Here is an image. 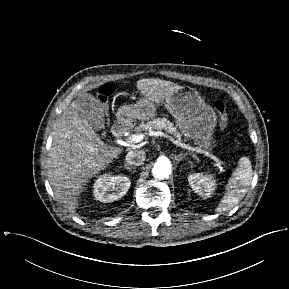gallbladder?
Here are the masks:
<instances>
[{"mask_svg": "<svg viewBox=\"0 0 289 289\" xmlns=\"http://www.w3.org/2000/svg\"><path fill=\"white\" fill-rule=\"evenodd\" d=\"M80 114L96 131L105 128L104 111L102 105L91 94H83L77 99ZM105 136V133H103Z\"/></svg>", "mask_w": 289, "mask_h": 289, "instance_id": "gallbladder-1", "label": "gallbladder"}]
</instances>
